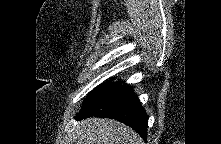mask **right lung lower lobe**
I'll return each instance as SVG.
<instances>
[{
    "label": "right lung lower lobe",
    "mask_w": 221,
    "mask_h": 144,
    "mask_svg": "<svg viewBox=\"0 0 221 144\" xmlns=\"http://www.w3.org/2000/svg\"><path fill=\"white\" fill-rule=\"evenodd\" d=\"M92 116L115 119L133 128L144 140L147 138L148 116L132 87L126 84L107 92L93 105L80 111L76 118Z\"/></svg>",
    "instance_id": "98d812e1"
}]
</instances>
